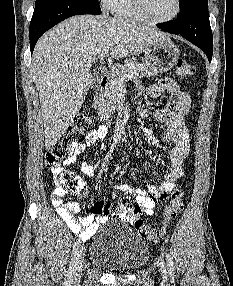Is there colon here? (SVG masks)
Listing matches in <instances>:
<instances>
[{
    "mask_svg": "<svg viewBox=\"0 0 233 286\" xmlns=\"http://www.w3.org/2000/svg\"><path fill=\"white\" fill-rule=\"evenodd\" d=\"M195 67L190 63L179 60L176 65V75L179 79L185 80L193 76ZM92 119L88 110L82 109L74 117L72 123L62 135L59 142L52 147L45 155V164L57 175L61 187L74 193L85 191V184L73 172L65 171L61 162L72 156L78 143L83 139L85 133L90 129ZM184 194L180 188H176L169 202L163 210V226L152 228L146 225L142 219V212L137 207L131 209L132 224L138 234L151 243H159L165 233L167 226L180 214L184 206Z\"/></svg>",
    "mask_w": 233,
    "mask_h": 286,
    "instance_id": "1",
    "label": "colon"
}]
</instances>
